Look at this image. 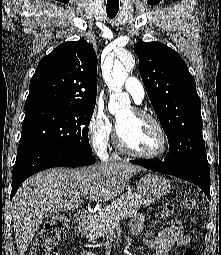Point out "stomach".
<instances>
[{"instance_id": "0dacf381", "label": "stomach", "mask_w": 221, "mask_h": 255, "mask_svg": "<svg viewBox=\"0 0 221 255\" xmlns=\"http://www.w3.org/2000/svg\"><path fill=\"white\" fill-rule=\"evenodd\" d=\"M170 188L169 180L157 174L144 176L137 185L139 195L149 203L162 198Z\"/></svg>"}]
</instances>
